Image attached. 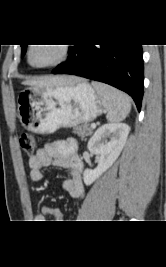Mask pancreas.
Instances as JSON below:
<instances>
[{
    "label": "pancreas",
    "mask_w": 166,
    "mask_h": 267,
    "mask_svg": "<svg viewBox=\"0 0 166 267\" xmlns=\"http://www.w3.org/2000/svg\"><path fill=\"white\" fill-rule=\"evenodd\" d=\"M73 132L76 133L82 140L92 134V129L89 124H82L73 128Z\"/></svg>",
    "instance_id": "1"
}]
</instances>
